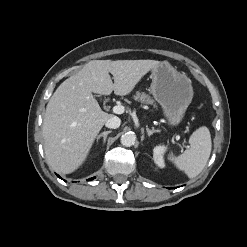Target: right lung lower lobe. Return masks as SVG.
<instances>
[{"label": "right lung lower lobe", "instance_id": "98d812e1", "mask_svg": "<svg viewBox=\"0 0 247 247\" xmlns=\"http://www.w3.org/2000/svg\"><path fill=\"white\" fill-rule=\"evenodd\" d=\"M60 179H62L59 175H57ZM95 177H92V178H90V179H88V180H93Z\"/></svg>", "mask_w": 247, "mask_h": 247}]
</instances>
